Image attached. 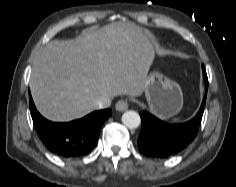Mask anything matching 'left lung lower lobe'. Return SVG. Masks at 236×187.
Here are the masks:
<instances>
[{"mask_svg":"<svg viewBox=\"0 0 236 187\" xmlns=\"http://www.w3.org/2000/svg\"><path fill=\"white\" fill-rule=\"evenodd\" d=\"M203 75L205 73L202 65ZM208 82H205L207 92ZM206 96L194 118L183 124H167L147 111H142L141 131L138 137L139 150L148 157L166 158L187 147L197 135L203 116Z\"/></svg>","mask_w":236,"mask_h":187,"instance_id":"0a47b994","label":"left lung lower lobe"}]
</instances>
